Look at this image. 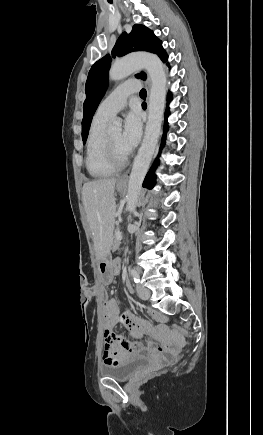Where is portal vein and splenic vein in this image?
<instances>
[{"label": "portal vein and splenic vein", "instance_id": "portal-vein-and-splenic-vein-1", "mask_svg": "<svg viewBox=\"0 0 263 435\" xmlns=\"http://www.w3.org/2000/svg\"><path fill=\"white\" fill-rule=\"evenodd\" d=\"M121 237H122V233L118 231V232L116 233V238H117V239H121Z\"/></svg>", "mask_w": 263, "mask_h": 435}]
</instances>
